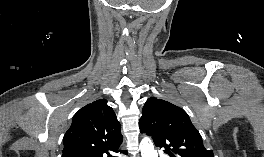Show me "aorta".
Listing matches in <instances>:
<instances>
[{"label": "aorta", "instance_id": "1", "mask_svg": "<svg viewBox=\"0 0 264 157\" xmlns=\"http://www.w3.org/2000/svg\"><path fill=\"white\" fill-rule=\"evenodd\" d=\"M142 157H157L154 146L148 139H143L140 143Z\"/></svg>", "mask_w": 264, "mask_h": 157}]
</instances>
